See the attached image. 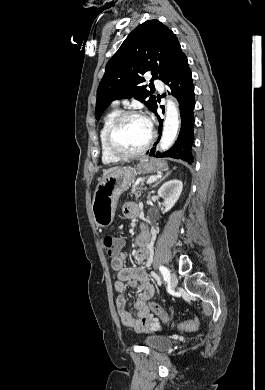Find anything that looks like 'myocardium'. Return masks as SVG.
<instances>
[{
  "mask_svg": "<svg viewBox=\"0 0 265 390\" xmlns=\"http://www.w3.org/2000/svg\"><path fill=\"white\" fill-rule=\"evenodd\" d=\"M130 117H138V118L143 119L144 121H147L146 118L142 114H140L139 112H136L133 110L121 111L116 116V118L114 119L112 124L110 125L108 132H107V135H106V143H107L108 150L119 159H129V158H134V157H137V156L144 154L150 148V146L152 145V143L155 139V133H154L153 129L149 126V131H150L149 138L143 147H141L139 150H136L133 152H125V151L119 149L115 143L116 131H117L118 127L121 125V123L125 119L130 118Z\"/></svg>",
  "mask_w": 265,
  "mask_h": 390,
  "instance_id": "1",
  "label": "myocardium"
}]
</instances>
